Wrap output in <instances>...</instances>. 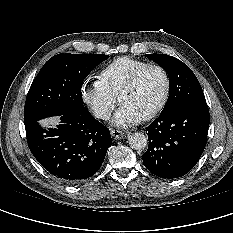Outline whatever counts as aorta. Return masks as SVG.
<instances>
[{"instance_id":"762f6f07","label":"aorta","mask_w":233,"mask_h":233,"mask_svg":"<svg viewBox=\"0 0 233 233\" xmlns=\"http://www.w3.org/2000/svg\"><path fill=\"white\" fill-rule=\"evenodd\" d=\"M128 143L132 149L141 150L147 146L148 138L143 133L135 132L129 136Z\"/></svg>"}]
</instances>
